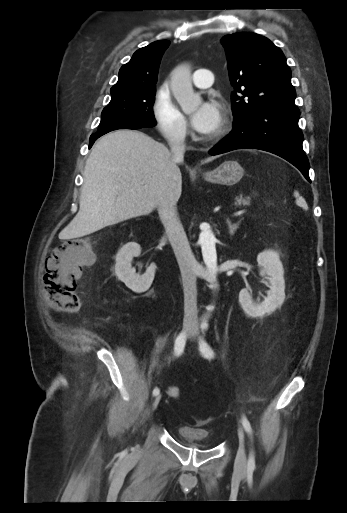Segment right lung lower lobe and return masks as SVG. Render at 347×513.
I'll return each mask as SVG.
<instances>
[{
  "mask_svg": "<svg viewBox=\"0 0 347 513\" xmlns=\"http://www.w3.org/2000/svg\"><path fill=\"white\" fill-rule=\"evenodd\" d=\"M141 127H137V126H124V127H120V128H116V129H112V130H107V131H103V132H96L94 133L93 135H91L90 137V143H89V148H91V146L93 145V143L95 142V140L97 138H99L100 136L110 132V131H113V130H117V129H139Z\"/></svg>",
  "mask_w": 347,
  "mask_h": 513,
  "instance_id": "right-lung-lower-lobe-1",
  "label": "right lung lower lobe"
}]
</instances>
